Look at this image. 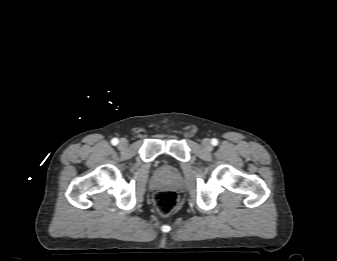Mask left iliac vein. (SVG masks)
<instances>
[{"label": "left iliac vein", "instance_id": "4c4485c4", "mask_svg": "<svg viewBox=\"0 0 337 261\" xmlns=\"http://www.w3.org/2000/svg\"><path fill=\"white\" fill-rule=\"evenodd\" d=\"M202 145L206 150H208V151L212 150V145H211V142H210L209 139H207V138L203 139Z\"/></svg>", "mask_w": 337, "mask_h": 261}]
</instances>
